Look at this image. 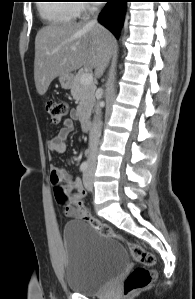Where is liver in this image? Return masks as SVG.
<instances>
[{
    "label": "liver",
    "instance_id": "1",
    "mask_svg": "<svg viewBox=\"0 0 195 299\" xmlns=\"http://www.w3.org/2000/svg\"><path fill=\"white\" fill-rule=\"evenodd\" d=\"M115 40L101 25L84 22L50 24L35 38L34 80L39 95L60 75L70 74L82 66L102 75Z\"/></svg>",
    "mask_w": 195,
    "mask_h": 299
}]
</instances>
